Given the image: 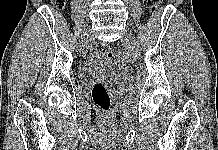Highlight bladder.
Returning a JSON list of instances; mask_svg holds the SVG:
<instances>
[{
	"label": "bladder",
	"mask_w": 218,
	"mask_h": 150,
	"mask_svg": "<svg viewBox=\"0 0 218 150\" xmlns=\"http://www.w3.org/2000/svg\"><path fill=\"white\" fill-rule=\"evenodd\" d=\"M114 67L111 62L103 59H93L87 66L85 73L88 76L92 75H110L113 73Z\"/></svg>",
	"instance_id": "obj_1"
}]
</instances>
